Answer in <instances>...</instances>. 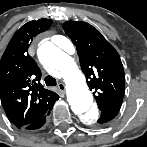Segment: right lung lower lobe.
Segmentation results:
<instances>
[{
  "label": "right lung lower lobe",
  "mask_w": 147,
  "mask_h": 147,
  "mask_svg": "<svg viewBox=\"0 0 147 147\" xmlns=\"http://www.w3.org/2000/svg\"><path fill=\"white\" fill-rule=\"evenodd\" d=\"M50 111L45 116L41 117L40 119L30 123L29 125H27V126H25L23 128L28 129V130H36V129L41 128L45 124L46 116H48L50 114Z\"/></svg>",
  "instance_id": "98d812e1"
}]
</instances>
